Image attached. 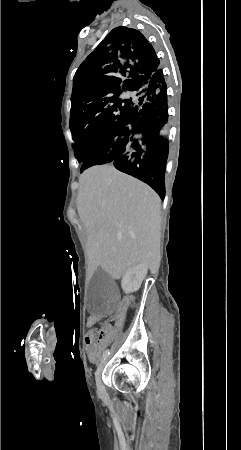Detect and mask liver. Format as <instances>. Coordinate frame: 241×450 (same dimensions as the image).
Here are the masks:
<instances>
[{"mask_svg": "<svg viewBox=\"0 0 241 450\" xmlns=\"http://www.w3.org/2000/svg\"><path fill=\"white\" fill-rule=\"evenodd\" d=\"M161 200L147 184L114 166L79 176L77 210L87 230L90 274L97 268L119 280L135 264L156 274L160 264Z\"/></svg>", "mask_w": 241, "mask_h": 450, "instance_id": "6515ba94", "label": "liver"}]
</instances>
